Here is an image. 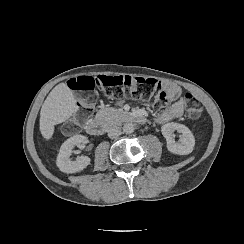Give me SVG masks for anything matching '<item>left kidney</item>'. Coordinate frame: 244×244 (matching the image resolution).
Wrapping results in <instances>:
<instances>
[{
  "instance_id": "obj_1",
  "label": "left kidney",
  "mask_w": 244,
  "mask_h": 244,
  "mask_svg": "<svg viewBox=\"0 0 244 244\" xmlns=\"http://www.w3.org/2000/svg\"><path fill=\"white\" fill-rule=\"evenodd\" d=\"M163 136L167 141V149L179 155H187L193 151L195 145V138L188 127L179 123H167L161 128ZM174 131L181 133L182 136L179 142H175Z\"/></svg>"
}]
</instances>
